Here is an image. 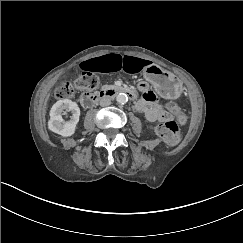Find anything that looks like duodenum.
Listing matches in <instances>:
<instances>
[{
    "instance_id": "duodenum-1",
    "label": "duodenum",
    "mask_w": 243,
    "mask_h": 243,
    "mask_svg": "<svg viewBox=\"0 0 243 243\" xmlns=\"http://www.w3.org/2000/svg\"><path fill=\"white\" fill-rule=\"evenodd\" d=\"M120 93L126 94L132 100L136 99L137 96L135 91H133L130 88L113 87L106 90H102L98 93H85L81 96L80 101L83 107L89 108L103 98H113Z\"/></svg>"
}]
</instances>
